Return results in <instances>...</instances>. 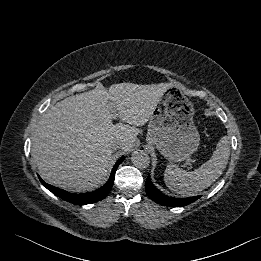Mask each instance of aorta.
Masks as SVG:
<instances>
[{
    "mask_svg": "<svg viewBox=\"0 0 261 261\" xmlns=\"http://www.w3.org/2000/svg\"><path fill=\"white\" fill-rule=\"evenodd\" d=\"M131 161L133 165L139 169H146L150 164L149 155L142 150L134 151L132 153Z\"/></svg>",
    "mask_w": 261,
    "mask_h": 261,
    "instance_id": "aorta-1",
    "label": "aorta"
}]
</instances>
